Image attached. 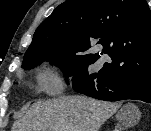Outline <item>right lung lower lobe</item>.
Wrapping results in <instances>:
<instances>
[{
    "label": "right lung lower lobe",
    "instance_id": "98d812e1",
    "mask_svg": "<svg viewBox=\"0 0 151 131\" xmlns=\"http://www.w3.org/2000/svg\"><path fill=\"white\" fill-rule=\"evenodd\" d=\"M73 89L104 101L136 99L151 103V74L136 77L78 78Z\"/></svg>",
    "mask_w": 151,
    "mask_h": 131
}]
</instances>
